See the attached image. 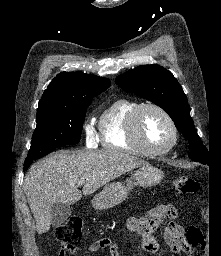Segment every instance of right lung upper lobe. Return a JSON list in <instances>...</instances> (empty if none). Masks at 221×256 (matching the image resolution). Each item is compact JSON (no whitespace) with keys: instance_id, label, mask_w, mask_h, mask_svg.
<instances>
[{"instance_id":"obj_1","label":"right lung upper lobe","mask_w":221,"mask_h":256,"mask_svg":"<svg viewBox=\"0 0 221 256\" xmlns=\"http://www.w3.org/2000/svg\"><path fill=\"white\" fill-rule=\"evenodd\" d=\"M110 84V80L91 74L61 72L44 91L37 112L74 108L79 100L99 95Z\"/></svg>"}]
</instances>
